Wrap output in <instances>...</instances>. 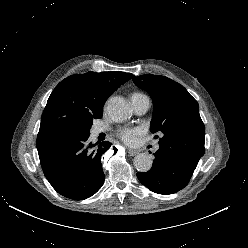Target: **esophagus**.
I'll list each match as a JSON object with an SVG mask.
<instances>
[{
	"instance_id": "34e87169",
	"label": "esophagus",
	"mask_w": 248,
	"mask_h": 248,
	"mask_svg": "<svg viewBox=\"0 0 248 248\" xmlns=\"http://www.w3.org/2000/svg\"><path fill=\"white\" fill-rule=\"evenodd\" d=\"M127 151L129 153V155H131V156H134L139 152L138 150L131 149V148L127 149Z\"/></svg>"
}]
</instances>
